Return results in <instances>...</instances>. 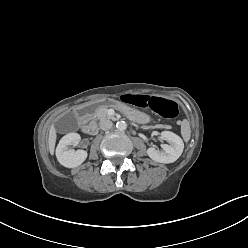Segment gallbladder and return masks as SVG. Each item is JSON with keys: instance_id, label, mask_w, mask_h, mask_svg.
Returning <instances> with one entry per match:
<instances>
[{"instance_id": "obj_1", "label": "gallbladder", "mask_w": 248, "mask_h": 248, "mask_svg": "<svg viewBox=\"0 0 248 248\" xmlns=\"http://www.w3.org/2000/svg\"><path fill=\"white\" fill-rule=\"evenodd\" d=\"M76 125H77L76 119L74 116H72L69 119V122H67L66 120L59 122L58 130L63 131V130L74 129L76 127Z\"/></svg>"}]
</instances>
